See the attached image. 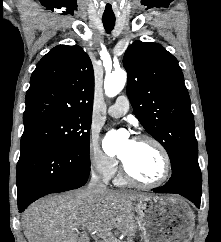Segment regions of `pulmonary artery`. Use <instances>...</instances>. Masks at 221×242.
<instances>
[{
	"label": "pulmonary artery",
	"instance_id": "obj_1",
	"mask_svg": "<svg viewBox=\"0 0 221 242\" xmlns=\"http://www.w3.org/2000/svg\"><path fill=\"white\" fill-rule=\"evenodd\" d=\"M129 110V101L125 95L117 97L115 103L111 105L107 112L112 117H121Z\"/></svg>",
	"mask_w": 221,
	"mask_h": 242
}]
</instances>
